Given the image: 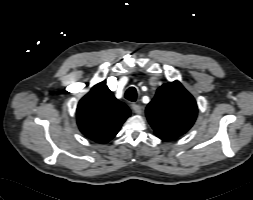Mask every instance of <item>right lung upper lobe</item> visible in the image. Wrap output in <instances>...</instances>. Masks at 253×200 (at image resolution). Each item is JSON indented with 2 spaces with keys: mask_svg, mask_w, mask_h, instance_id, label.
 <instances>
[{
  "mask_svg": "<svg viewBox=\"0 0 253 200\" xmlns=\"http://www.w3.org/2000/svg\"><path fill=\"white\" fill-rule=\"evenodd\" d=\"M129 116V108L114 97L104 82L93 86L77 107L80 131L98 143L114 138Z\"/></svg>",
  "mask_w": 253,
  "mask_h": 200,
  "instance_id": "cb5924a9",
  "label": "right lung upper lobe"
}]
</instances>
